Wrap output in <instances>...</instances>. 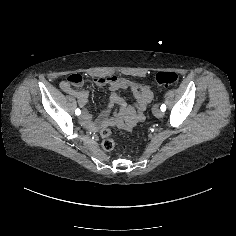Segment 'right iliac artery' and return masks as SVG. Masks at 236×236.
I'll return each mask as SVG.
<instances>
[{"instance_id": "right-iliac-artery-1", "label": "right iliac artery", "mask_w": 236, "mask_h": 236, "mask_svg": "<svg viewBox=\"0 0 236 236\" xmlns=\"http://www.w3.org/2000/svg\"><path fill=\"white\" fill-rule=\"evenodd\" d=\"M75 114H76V115H80V114H81L80 109L77 108V109L75 110Z\"/></svg>"}]
</instances>
